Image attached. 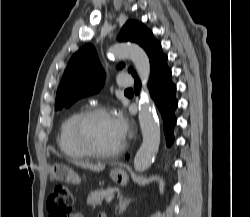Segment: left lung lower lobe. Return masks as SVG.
I'll return each mask as SVG.
<instances>
[{
  "mask_svg": "<svg viewBox=\"0 0 250 217\" xmlns=\"http://www.w3.org/2000/svg\"><path fill=\"white\" fill-rule=\"evenodd\" d=\"M151 73L148 82L150 95L158 107L164 124V131L167 139V145L173 143V128L176 123L175 109L178 101L175 98L176 85L171 81V70L167 66V56L162 52L159 43L150 57ZM134 91L140 93L141 83L135 75Z\"/></svg>",
  "mask_w": 250,
  "mask_h": 217,
  "instance_id": "1",
  "label": "left lung lower lobe"
}]
</instances>
